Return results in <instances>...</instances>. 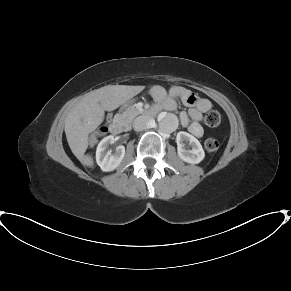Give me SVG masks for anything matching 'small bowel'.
<instances>
[{
  "mask_svg": "<svg viewBox=\"0 0 291 291\" xmlns=\"http://www.w3.org/2000/svg\"><path fill=\"white\" fill-rule=\"evenodd\" d=\"M150 94L158 111L176 110L177 100L189 106V114L181 113L180 122L193 136L197 138L203 136V114L212 108V103L208 99L196 96L191 90L182 86H174L166 91L163 87L156 85L151 88Z\"/></svg>",
  "mask_w": 291,
  "mask_h": 291,
  "instance_id": "small-bowel-1",
  "label": "small bowel"
}]
</instances>
